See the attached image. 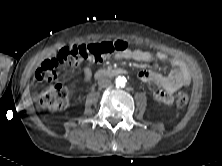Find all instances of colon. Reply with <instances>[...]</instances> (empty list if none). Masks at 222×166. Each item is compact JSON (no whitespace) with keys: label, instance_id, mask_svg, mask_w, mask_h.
<instances>
[{"label":"colon","instance_id":"obj_1","mask_svg":"<svg viewBox=\"0 0 222 166\" xmlns=\"http://www.w3.org/2000/svg\"><path fill=\"white\" fill-rule=\"evenodd\" d=\"M127 49L123 41L97 42L64 47L56 56L45 59L36 70L35 77L40 81L53 82L58 77L61 65H77L83 61L100 62L115 56ZM70 91L66 86L58 83L51 84L38 96L41 107L52 111L64 109L69 101ZM188 102L187 93L180 91L176 95V106L184 107Z\"/></svg>","mask_w":222,"mask_h":166}]
</instances>
